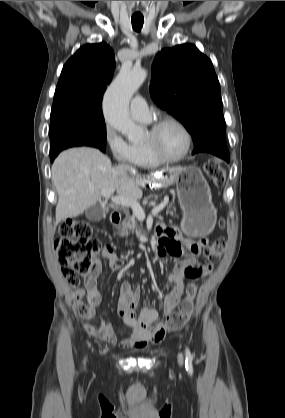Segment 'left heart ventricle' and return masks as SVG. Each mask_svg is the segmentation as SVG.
<instances>
[{"instance_id":"b2bd125f","label":"left heart ventricle","mask_w":285,"mask_h":418,"mask_svg":"<svg viewBox=\"0 0 285 418\" xmlns=\"http://www.w3.org/2000/svg\"><path fill=\"white\" fill-rule=\"evenodd\" d=\"M153 141L158 150L166 157L173 158L179 156L185 147V136L181 129L173 124L164 125L154 136L150 132L144 142Z\"/></svg>"}]
</instances>
